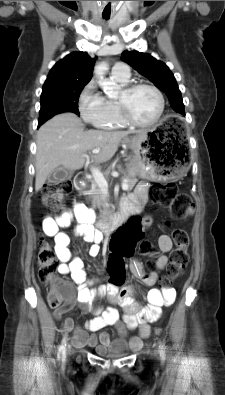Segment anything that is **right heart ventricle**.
<instances>
[{"mask_svg": "<svg viewBox=\"0 0 225 395\" xmlns=\"http://www.w3.org/2000/svg\"><path fill=\"white\" fill-rule=\"evenodd\" d=\"M112 79L122 87L126 86L129 82V80H121L114 77H112ZM104 100L106 103V115L104 116L99 127L108 130L126 127V124L121 119L117 101L112 98L105 97Z\"/></svg>", "mask_w": 225, "mask_h": 395, "instance_id": "right-heart-ventricle-1", "label": "right heart ventricle"}]
</instances>
